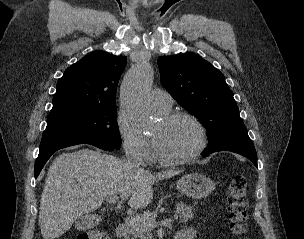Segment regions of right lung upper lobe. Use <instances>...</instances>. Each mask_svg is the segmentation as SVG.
<instances>
[{
	"instance_id": "right-lung-upper-lobe-1",
	"label": "right lung upper lobe",
	"mask_w": 304,
	"mask_h": 239,
	"mask_svg": "<svg viewBox=\"0 0 304 239\" xmlns=\"http://www.w3.org/2000/svg\"><path fill=\"white\" fill-rule=\"evenodd\" d=\"M125 65V56H114L104 51L86 55L67 68L59 79L50 113L115 105L116 88Z\"/></svg>"
}]
</instances>
